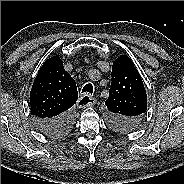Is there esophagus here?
Wrapping results in <instances>:
<instances>
[{
    "instance_id": "34e87169",
    "label": "esophagus",
    "mask_w": 184,
    "mask_h": 184,
    "mask_svg": "<svg viewBox=\"0 0 184 184\" xmlns=\"http://www.w3.org/2000/svg\"><path fill=\"white\" fill-rule=\"evenodd\" d=\"M96 99L91 97L89 94H83L77 101V105L80 108L91 107L95 105Z\"/></svg>"
}]
</instances>
